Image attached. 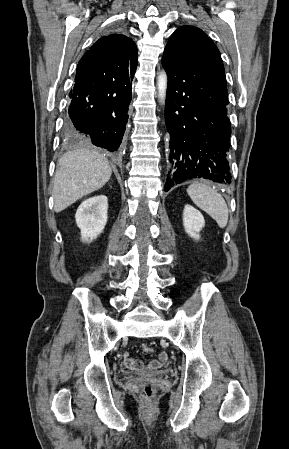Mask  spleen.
Masks as SVG:
<instances>
[{"label": "spleen", "mask_w": 289, "mask_h": 449, "mask_svg": "<svg viewBox=\"0 0 289 449\" xmlns=\"http://www.w3.org/2000/svg\"><path fill=\"white\" fill-rule=\"evenodd\" d=\"M192 201L203 211L209 214L220 228L228 223V207L224 198L208 185L195 182L187 188Z\"/></svg>", "instance_id": "spleen-1"}]
</instances>
